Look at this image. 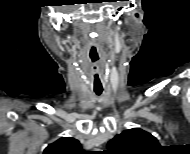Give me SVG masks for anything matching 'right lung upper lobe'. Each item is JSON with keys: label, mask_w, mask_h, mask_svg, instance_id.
Returning <instances> with one entry per match:
<instances>
[{"label": "right lung upper lobe", "mask_w": 190, "mask_h": 154, "mask_svg": "<svg viewBox=\"0 0 190 154\" xmlns=\"http://www.w3.org/2000/svg\"><path fill=\"white\" fill-rule=\"evenodd\" d=\"M82 148L78 140L72 137H62L48 145L43 154H82Z\"/></svg>", "instance_id": "obj_1"}]
</instances>
